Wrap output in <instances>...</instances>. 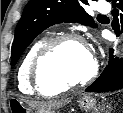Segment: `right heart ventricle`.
Wrapping results in <instances>:
<instances>
[{"instance_id": "right-heart-ventricle-1", "label": "right heart ventricle", "mask_w": 123, "mask_h": 113, "mask_svg": "<svg viewBox=\"0 0 123 113\" xmlns=\"http://www.w3.org/2000/svg\"><path fill=\"white\" fill-rule=\"evenodd\" d=\"M48 37H43L36 41L25 54L17 72L18 87L23 92H32L43 96H51L59 93L58 91H40L35 88L31 82L30 69L34 56L39 48L48 40Z\"/></svg>"}]
</instances>
